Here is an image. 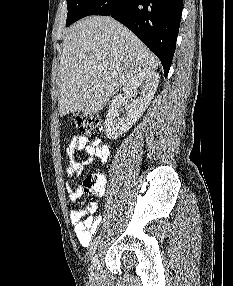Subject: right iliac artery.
<instances>
[{
	"instance_id": "1",
	"label": "right iliac artery",
	"mask_w": 233,
	"mask_h": 286,
	"mask_svg": "<svg viewBox=\"0 0 233 286\" xmlns=\"http://www.w3.org/2000/svg\"><path fill=\"white\" fill-rule=\"evenodd\" d=\"M99 239H100L99 236L96 237V238L94 239V241L92 242V244H91V247H90V250H89V253H90V257H91V258L93 257V255H94V253H95V251H96V248H97V244H98V242H99Z\"/></svg>"
}]
</instances>
